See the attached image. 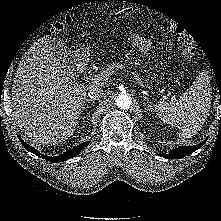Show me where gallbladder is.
Returning <instances> with one entry per match:
<instances>
[{
	"label": "gallbladder",
	"mask_w": 221,
	"mask_h": 221,
	"mask_svg": "<svg viewBox=\"0 0 221 221\" xmlns=\"http://www.w3.org/2000/svg\"><path fill=\"white\" fill-rule=\"evenodd\" d=\"M49 47L63 68L71 74L74 71L71 50L59 38L50 39Z\"/></svg>",
	"instance_id": "gallbladder-1"
}]
</instances>
